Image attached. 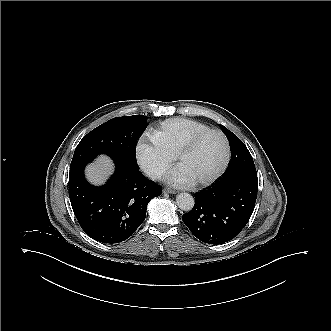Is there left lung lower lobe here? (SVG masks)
<instances>
[{"mask_svg":"<svg viewBox=\"0 0 331 331\" xmlns=\"http://www.w3.org/2000/svg\"><path fill=\"white\" fill-rule=\"evenodd\" d=\"M258 180L236 175L196 193L193 209L182 220L202 242L223 244L235 238L254 210Z\"/></svg>","mask_w":331,"mask_h":331,"instance_id":"left-lung-lower-lobe-1","label":"left lung lower lobe"}]
</instances>
